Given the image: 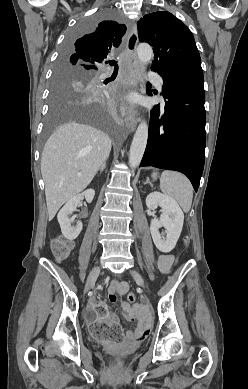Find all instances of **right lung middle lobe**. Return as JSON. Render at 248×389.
Wrapping results in <instances>:
<instances>
[{
    "label": "right lung middle lobe",
    "mask_w": 248,
    "mask_h": 389,
    "mask_svg": "<svg viewBox=\"0 0 248 389\" xmlns=\"http://www.w3.org/2000/svg\"><path fill=\"white\" fill-rule=\"evenodd\" d=\"M107 16V12L101 11L93 16L84 18L70 34L68 41L64 46V54L57 64L55 85L50 103L48 125L45 132V137H47L56 126L68 121H85L110 130L108 116L105 114L102 108L97 106L95 103L66 102L64 97H59L57 95L58 87L65 84L69 78L76 77L80 82H88L92 79L94 75L93 71L88 69H81L78 67H66L63 64V58L64 55L67 54L71 43L78 36L83 35L85 32L92 31L97 26L98 22L107 18Z\"/></svg>",
    "instance_id": "right-lung-middle-lobe-1"
}]
</instances>
